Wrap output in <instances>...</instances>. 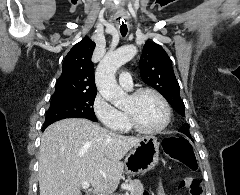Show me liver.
Segmentation results:
<instances>
[{
	"label": "liver",
	"mask_w": 240,
	"mask_h": 195,
	"mask_svg": "<svg viewBox=\"0 0 240 195\" xmlns=\"http://www.w3.org/2000/svg\"><path fill=\"white\" fill-rule=\"evenodd\" d=\"M142 139L83 117L55 121L41 137L40 195H81L83 181L103 195L113 193L122 177V157Z\"/></svg>",
	"instance_id": "6515ba94"
}]
</instances>
